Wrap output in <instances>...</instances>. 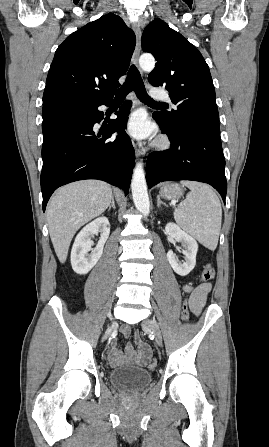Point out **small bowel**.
I'll list each match as a JSON object with an SVG mask.
<instances>
[{
  "label": "small bowel",
  "instance_id": "obj_1",
  "mask_svg": "<svg viewBox=\"0 0 269 447\" xmlns=\"http://www.w3.org/2000/svg\"><path fill=\"white\" fill-rule=\"evenodd\" d=\"M182 289L184 293L189 295V307L191 311L193 314L199 315L206 304L207 296L212 289V285L210 283H201L196 286L186 284ZM121 333L123 336H129L130 328L128 326L122 327ZM134 337L138 354H136L134 346L130 343L125 346L123 355L120 353L119 349L113 345L108 356V362L111 366L116 367L122 365L125 361H132L136 365L144 367L146 359L153 361L152 356H143L142 354L143 347H150L146 342L141 340L143 337L142 332H135Z\"/></svg>",
  "mask_w": 269,
  "mask_h": 447
}]
</instances>
